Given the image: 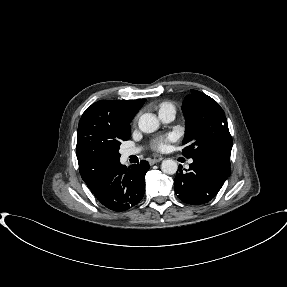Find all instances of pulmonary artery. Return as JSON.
<instances>
[{
  "mask_svg": "<svg viewBox=\"0 0 287 287\" xmlns=\"http://www.w3.org/2000/svg\"><path fill=\"white\" fill-rule=\"evenodd\" d=\"M175 116V111L172 109H167L159 112V117L163 122H170ZM140 152V148H132L124 151V157L128 158L129 156L135 155ZM192 162V161H191Z\"/></svg>",
  "mask_w": 287,
  "mask_h": 287,
  "instance_id": "1",
  "label": "pulmonary artery"
}]
</instances>
